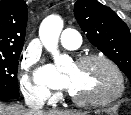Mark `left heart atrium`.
Here are the masks:
<instances>
[{
	"mask_svg": "<svg viewBox=\"0 0 131 115\" xmlns=\"http://www.w3.org/2000/svg\"><path fill=\"white\" fill-rule=\"evenodd\" d=\"M39 78L56 88H70L71 82L68 76H59L52 69H47Z\"/></svg>",
	"mask_w": 131,
	"mask_h": 115,
	"instance_id": "obj_1",
	"label": "left heart atrium"
}]
</instances>
